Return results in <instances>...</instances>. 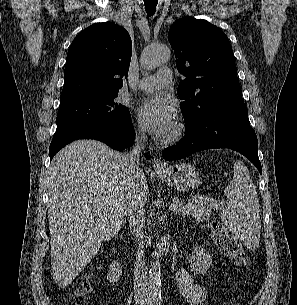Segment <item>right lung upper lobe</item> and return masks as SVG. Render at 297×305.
I'll return each instance as SVG.
<instances>
[{"mask_svg":"<svg viewBox=\"0 0 297 305\" xmlns=\"http://www.w3.org/2000/svg\"><path fill=\"white\" fill-rule=\"evenodd\" d=\"M131 54V38L123 27L105 22L86 28L68 50L61 100L118 91L128 75Z\"/></svg>","mask_w":297,"mask_h":305,"instance_id":"1","label":"right lung upper lobe"}]
</instances>
